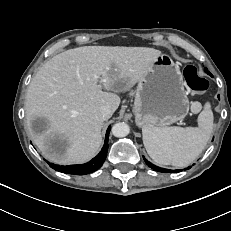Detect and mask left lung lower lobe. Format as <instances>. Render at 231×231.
<instances>
[{"mask_svg": "<svg viewBox=\"0 0 231 231\" xmlns=\"http://www.w3.org/2000/svg\"><path fill=\"white\" fill-rule=\"evenodd\" d=\"M144 161L146 162V164H147L150 168H152L153 170L158 171V172H162V173H171V172H180V171H182V170H168V169L160 168V167H158V166L153 165L152 163H150L149 161H147L145 158H144ZM189 168H190V167H188V169H189ZM184 170H186V169H184Z\"/></svg>", "mask_w": 231, "mask_h": 231, "instance_id": "1", "label": "left lung lower lobe"}]
</instances>
